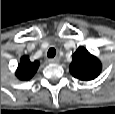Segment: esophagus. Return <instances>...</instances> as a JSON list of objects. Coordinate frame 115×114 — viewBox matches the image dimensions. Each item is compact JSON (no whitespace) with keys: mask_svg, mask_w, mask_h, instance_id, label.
Instances as JSON below:
<instances>
[{"mask_svg":"<svg viewBox=\"0 0 115 114\" xmlns=\"http://www.w3.org/2000/svg\"><path fill=\"white\" fill-rule=\"evenodd\" d=\"M49 63H58L59 62V58L55 57V58H51L48 60Z\"/></svg>","mask_w":115,"mask_h":114,"instance_id":"1","label":"esophagus"}]
</instances>
